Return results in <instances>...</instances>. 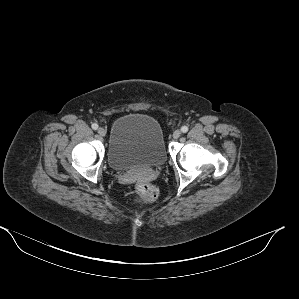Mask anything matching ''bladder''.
<instances>
[{
    "label": "bladder",
    "instance_id": "31cf9c89",
    "mask_svg": "<svg viewBox=\"0 0 299 299\" xmlns=\"http://www.w3.org/2000/svg\"><path fill=\"white\" fill-rule=\"evenodd\" d=\"M167 159L163 132L150 115L130 113L117 118L110 131L107 160L111 169L161 167Z\"/></svg>",
    "mask_w": 299,
    "mask_h": 299
}]
</instances>
